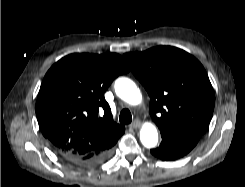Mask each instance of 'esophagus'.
Listing matches in <instances>:
<instances>
[{
	"label": "esophagus",
	"instance_id": "1",
	"mask_svg": "<svg viewBox=\"0 0 245 187\" xmlns=\"http://www.w3.org/2000/svg\"><path fill=\"white\" fill-rule=\"evenodd\" d=\"M140 126H141V122H140V120H138V119L134 120V121L129 125V127H130V128H133V129L139 128Z\"/></svg>",
	"mask_w": 245,
	"mask_h": 187
}]
</instances>
